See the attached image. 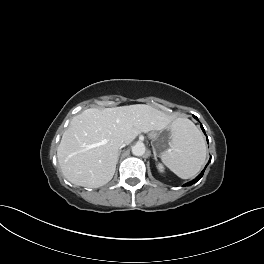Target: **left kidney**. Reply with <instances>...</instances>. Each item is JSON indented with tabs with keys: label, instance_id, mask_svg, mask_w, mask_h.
I'll return each mask as SVG.
<instances>
[{
	"label": "left kidney",
	"instance_id": "obj_1",
	"mask_svg": "<svg viewBox=\"0 0 264 264\" xmlns=\"http://www.w3.org/2000/svg\"><path fill=\"white\" fill-rule=\"evenodd\" d=\"M157 167H158V169H159L160 172H163V166L161 164H158Z\"/></svg>",
	"mask_w": 264,
	"mask_h": 264
}]
</instances>
